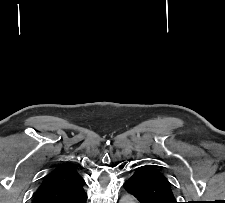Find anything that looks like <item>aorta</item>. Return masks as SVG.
Returning <instances> with one entry per match:
<instances>
[{
  "instance_id": "762f6f07",
  "label": "aorta",
  "mask_w": 225,
  "mask_h": 203,
  "mask_svg": "<svg viewBox=\"0 0 225 203\" xmlns=\"http://www.w3.org/2000/svg\"><path fill=\"white\" fill-rule=\"evenodd\" d=\"M120 203H136L134 197L130 195L123 196Z\"/></svg>"
}]
</instances>
